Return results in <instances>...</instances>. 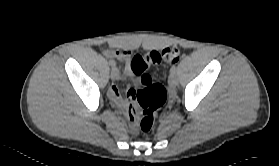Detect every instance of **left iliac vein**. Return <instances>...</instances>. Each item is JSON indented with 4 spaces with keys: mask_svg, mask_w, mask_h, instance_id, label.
<instances>
[{
    "mask_svg": "<svg viewBox=\"0 0 279 166\" xmlns=\"http://www.w3.org/2000/svg\"><path fill=\"white\" fill-rule=\"evenodd\" d=\"M168 83L170 87H176V85L178 84V78L175 73L170 74Z\"/></svg>",
    "mask_w": 279,
    "mask_h": 166,
    "instance_id": "1",
    "label": "left iliac vein"
}]
</instances>
